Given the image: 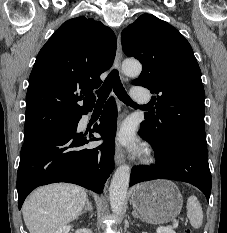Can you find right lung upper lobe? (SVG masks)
<instances>
[{
	"mask_svg": "<svg viewBox=\"0 0 227 233\" xmlns=\"http://www.w3.org/2000/svg\"><path fill=\"white\" fill-rule=\"evenodd\" d=\"M114 32L84 16L63 23L37 55L26 97L25 137L74 121L91 111L100 75L113 64Z\"/></svg>",
	"mask_w": 227,
	"mask_h": 233,
	"instance_id": "cb5924a9",
	"label": "right lung upper lobe"
}]
</instances>
